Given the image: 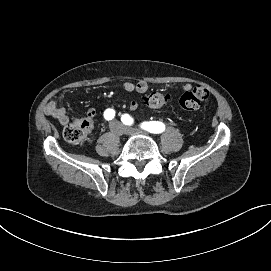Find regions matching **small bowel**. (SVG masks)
<instances>
[{"mask_svg":"<svg viewBox=\"0 0 271 271\" xmlns=\"http://www.w3.org/2000/svg\"><path fill=\"white\" fill-rule=\"evenodd\" d=\"M147 83L144 81H140L138 83H134L132 81H126L123 83V89L127 92H139L143 93L147 90ZM193 88L190 83H186L182 86V91L186 92ZM128 106L131 110H136L138 108V103L135 100H130L128 102ZM45 114L54 118L60 125H66L68 123V116L65 109L59 106L56 102L51 101L45 107ZM96 114V109L94 107L90 108L87 112L86 117L83 119L89 124V130L93 126V118Z\"/></svg>","mask_w":271,"mask_h":271,"instance_id":"obj_1","label":"small bowel"}]
</instances>
